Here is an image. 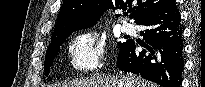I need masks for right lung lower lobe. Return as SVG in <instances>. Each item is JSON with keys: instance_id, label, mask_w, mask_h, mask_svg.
<instances>
[{"instance_id": "obj_1", "label": "right lung lower lobe", "mask_w": 205, "mask_h": 87, "mask_svg": "<svg viewBox=\"0 0 205 87\" xmlns=\"http://www.w3.org/2000/svg\"><path fill=\"white\" fill-rule=\"evenodd\" d=\"M137 24L148 27L140 34L150 46L137 52L134 41H126L120 47L117 67L162 87H180L184 67L183 29L175 0H169Z\"/></svg>"}]
</instances>
